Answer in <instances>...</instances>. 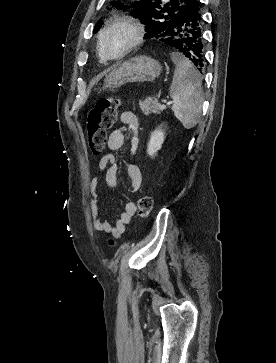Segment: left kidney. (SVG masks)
<instances>
[{
    "label": "left kidney",
    "mask_w": 276,
    "mask_h": 363,
    "mask_svg": "<svg viewBox=\"0 0 276 363\" xmlns=\"http://www.w3.org/2000/svg\"><path fill=\"white\" fill-rule=\"evenodd\" d=\"M165 139L164 130L161 128L155 129L151 135L147 146V153L149 156H154L158 150L161 149Z\"/></svg>",
    "instance_id": "left-kidney-1"
}]
</instances>
